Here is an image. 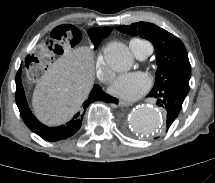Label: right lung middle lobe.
<instances>
[{
  "label": "right lung middle lobe",
  "instance_id": "right-lung-middle-lobe-1",
  "mask_svg": "<svg viewBox=\"0 0 215 183\" xmlns=\"http://www.w3.org/2000/svg\"><path fill=\"white\" fill-rule=\"evenodd\" d=\"M63 29L67 30V29H72V27L66 25V26H62ZM73 31V34H74V39L73 41L78 43L80 40H81V34H77L74 32V30L72 29ZM89 37L92 41V43L94 44L95 48L96 49L99 45V43L101 42V40L105 37L108 36L107 33H105L104 31L100 30L99 28H95V29H90L89 32Z\"/></svg>",
  "mask_w": 215,
  "mask_h": 183
}]
</instances>
